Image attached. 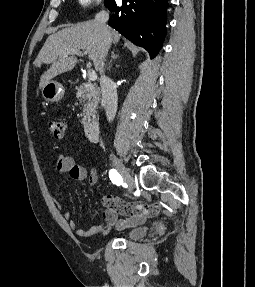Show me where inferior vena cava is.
I'll return each mask as SVG.
<instances>
[{
    "label": "inferior vena cava",
    "instance_id": "602c4592",
    "mask_svg": "<svg viewBox=\"0 0 255 287\" xmlns=\"http://www.w3.org/2000/svg\"><path fill=\"white\" fill-rule=\"evenodd\" d=\"M109 20V14L107 12H99V14H96L94 22L96 24H99L101 28H103L104 32L106 34H109L106 26V22ZM105 54H108L110 50V42L109 40H105ZM105 62V60H104ZM104 62H101L100 66V86H101V92H102V106L106 112L107 120L111 122V120H114L117 112V92H116V84L110 80V78H107L105 76V64Z\"/></svg>",
    "mask_w": 255,
    "mask_h": 287
}]
</instances>
